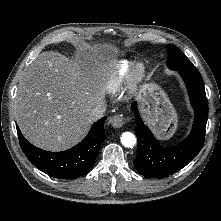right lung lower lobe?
Segmentation results:
<instances>
[{"label": "right lung lower lobe", "mask_w": 221, "mask_h": 221, "mask_svg": "<svg viewBox=\"0 0 221 221\" xmlns=\"http://www.w3.org/2000/svg\"><path fill=\"white\" fill-rule=\"evenodd\" d=\"M101 118L91 127L88 135L76 146L62 152H48L30 144L21 134L18 126L20 146L38 169L60 179H73L87 174L95 163L100 146L105 140L104 122Z\"/></svg>", "instance_id": "right-lung-lower-lobe-1"}]
</instances>
